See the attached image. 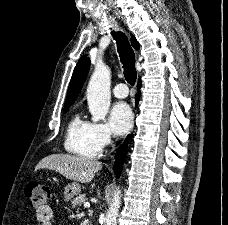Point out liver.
Wrapping results in <instances>:
<instances>
[{
  "mask_svg": "<svg viewBox=\"0 0 228 225\" xmlns=\"http://www.w3.org/2000/svg\"><path fill=\"white\" fill-rule=\"evenodd\" d=\"M38 169H49L56 171L66 179L79 181V183H90L95 177V173L101 171L102 163L85 159V157H75V155H49L42 159L35 167Z\"/></svg>",
  "mask_w": 228,
  "mask_h": 225,
  "instance_id": "6515ba94",
  "label": "liver"
}]
</instances>
